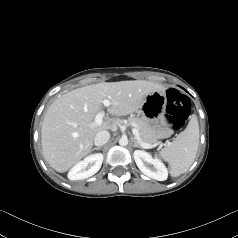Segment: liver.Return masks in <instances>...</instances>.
<instances>
[{
    "mask_svg": "<svg viewBox=\"0 0 238 238\" xmlns=\"http://www.w3.org/2000/svg\"><path fill=\"white\" fill-rule=\"evenodd\" d=\"M165 87L145 80L102 82L77 88L56 99L45 113L41 129L43 156L57 172L63 173L91 152L96 134L114 129L116 119L94 126L95 116L110 100L109 114L126 116L137 112L146 96Z\"/></svg>",
    "mask_w": 238,
    "mask_h": 238,
    "instance_id": "obj_1",
    "label": "liver"
}]
</instances>
